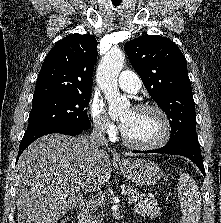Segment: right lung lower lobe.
Wrapping results in <instances>:
<instances>
[{"mask_svg": "<svg viewBox=\"0 0 221 223\" xmlns=\"http://www.w3.org/2000/svg\"><path fill=\"white\" fill-rule=\"evenodd\" d=\"M83 130L84 129H76V128H72L68 126L53 125V126L42 127L30 132H25L23 139L20 143L18 157L33 141H35L37 138L41 136L51 134V133H62L66 135L75 136L81 133ZM18 157H17V160H18Z\"/></svg>", "mask_w": 221, "mask_h": 223, "instance_id": "right-lung-lower-lobe-1", "label": "right lung lower lobe"}]
</instances>
